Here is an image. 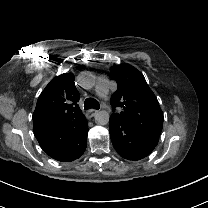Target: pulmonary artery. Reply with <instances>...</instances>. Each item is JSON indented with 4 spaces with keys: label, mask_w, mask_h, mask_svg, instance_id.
I'll list each match as a JSON object with an SVG mask.
<instances>
[{
    "label": "pulmonary artery",
    "mask_w": 208,
    "mask_h": 208,
    "mask_svg": "<svg viewBox=\"0 0 208 208\" xmlns=\"http://www.w3.org/2000/svg\"><path fill=\"white\" fill-rule=\"evenodd\" d=\"M96 91L99 92L100 97L102 100H104V103L107 107H111L113 111L117 110V107L115 105H112V103L106 99V95L104 92L108 89V78L106 76H96Z\"/></svg>",
    "instance_id": "obj_1"
}]
</instances>
